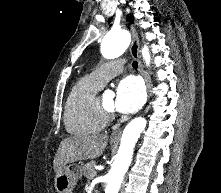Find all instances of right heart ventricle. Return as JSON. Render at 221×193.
<instances>
[{"mask_svg": "<svg viewBox=\"0 0 221 193\" xmlns=\"http://www.w3.org/2000/svg\"><path fill=\"white\" fill-rule=\"evenodd\" d=\"M101 87L90 76H84L70 89L64 105V123L70 134H91L105 128L107 122L94 105Z\"/></svg>", "mask_w": 221, "mask_h": 193, "instance_id": "e07e8e85", "label": "right heart ventricle"}]
</instances>
